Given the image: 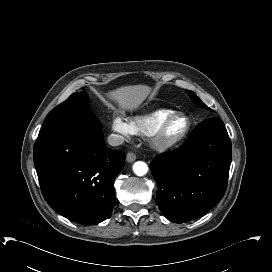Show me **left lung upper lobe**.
Instances as JSON below:
<instances>
[{"instance_id": "obj_1", "label": "left lung upper lobe", "mask_w": 272, "mask_h": 272, "mask_svg": "<svg viewBox=\"0 0 272 272\" xmlns=\"http://www.w3.org/2000/svg\"><path fill=\"white\" fill-rule=\"evenodd\" d=\"M188 95L191 97V99L200 107L210 110L208 106H206L197 96L194 92L187 90L186 91Z\"/></svg>"}]
</instances>
